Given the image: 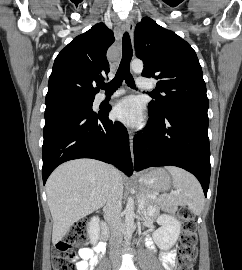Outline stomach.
<instances>
[{"label": "stomach", "mask_w": 242, "mask_h": 270, "mask_svg": "<svg viewBox=\"0 0 242 270\" xmlns=\"http://www.w3.org/2000/svg\"><path fill=\"white\" fill-rule=\"evenodd\" d=\"M139 182L141 185V193L144 191L157 193L159 191L168 190L171 180L165 170L157 168L143 174Z\"/></svg>", "instance_id": "0dacf381"}]
</instances>
